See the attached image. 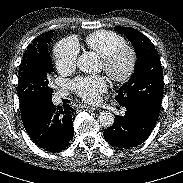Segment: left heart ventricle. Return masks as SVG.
<instances>
[{
	"label": "left heart ventricle",
	"mask_w": 183,
	"mask_h": 183,
	"mask_svg": "<svg viewBox=\"0 0 183 183\" xmlns=\"http://www.w3.org/2000/svg\"><path fill=\"white\" fill-rule=\"evenodd\" d=\"M126 64H127V59L124 57L119 61L118 69H120V70L124 69Z\"/></svg>",
	"instance_id": "left-heart-ventricle-1"
}]
</instances>
